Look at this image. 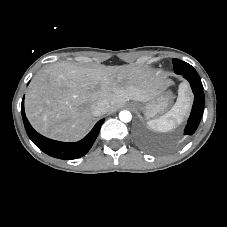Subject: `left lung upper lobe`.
<instances>
[{"label":"left lung upper lobe","mask_w":227,"mask_h":227,"mask_svg":"<svg viewBox=\"0 0 227 227\" xmlns=\"http://www.w3.org/2000/svg\"><path fill=\"white\" fill-rule=\"evenodd\" d=\"M174 71L177 74L182 72L189 73V72H196V70L188 63L181 61L179 59H173Z\"/></svg>","instance_id":"1"}]
</instances>
